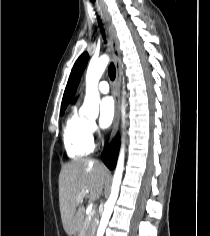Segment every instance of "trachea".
<instances>
[{
  "label": "trachea",
  "instance_id": "obj_1",
  "mask_svg": "<svg viewBox=\"0 0 210 236\" xmlns=\"http://www.w3.org/2000/svg\"><path fill=\"white\" fill-rule=\"evenodd\" d=\"M98 23H99V27L101 29V33L103 35V38L105 39V33H104L103 25H102V22H101L99 17H98ZM108 72H109L110 79L113 81L116 77V70H115V66H114L113 63H111L109 65Z\"/></svg>",
  "mask_w": 210,
  "mask_h": 236
}]
</instances>
